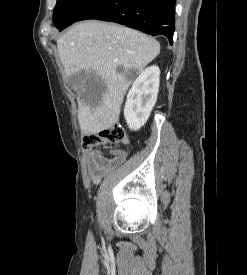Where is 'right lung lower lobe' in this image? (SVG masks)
Listing matches in <instances>:
<instances>
[{
	"label": "right lung lower lobe",
	"mask_w": 247,
	"mask_h": 275,
	"mask_svg": "<svg viewBox=\"0 0 247 275\" xmlns=\"http://www.w3.org/2000/svg\"><path fill=\"white\" fill-rule=\"evenodd\" d=\"M176 0H98L77 21L98 19L116 22L173 43Z\"/></svg>",
	"instance_id": "right-lung-lower-lobe-1"
}]
</instances>
